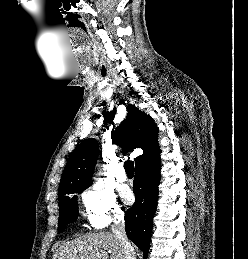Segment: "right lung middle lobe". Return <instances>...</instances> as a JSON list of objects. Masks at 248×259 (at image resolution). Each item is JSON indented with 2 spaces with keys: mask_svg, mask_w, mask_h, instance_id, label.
<instances>
[{
  "mask_svg": "<svg viewBox=\"0 0 248 259\" xmlns=\"http://www.w3.org/2000/svg\"><path fill=\"white\" fill-rule=\"evenodd\" d=\"M87 187L72 190L66 195L59 197V231H62V228L65 226L66 223H71L75 221L78 217L77 196L68 195L79 193L85 190Z\"/></svg>",
  "mask_w": 248,
  "mask_h": 259,
  "instance_id": "1",
  "label": "right lung middle lobe"
}]
</instances>
